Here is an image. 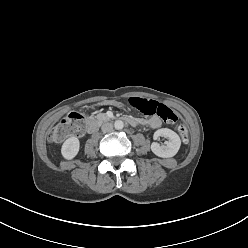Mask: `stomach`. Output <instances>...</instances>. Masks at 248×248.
I'll list each match as a JSON object with an SVG mask.
<instances>
[{
	"instance_id": "obj_1",
	"label": "stomach",
	"mask_w": 248,
	"mask_h": 248,
	"mask_svg": "<svg viewBox=\"0 0 248 248\" xmlns=\"http://www.w3.org/2000/svg\"><path fill=\"white\" fill-rule=\"evenodd\" d=\"M112 105L117 107L122 112H126L128 110V107L117 99H113V100L105 99L104 101H99L97 103V106L99 108H103L104 106H112Z\"/></svg>"
}]
</instances>
